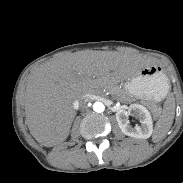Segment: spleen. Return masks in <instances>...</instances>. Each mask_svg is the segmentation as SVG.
I'll use <instances>...</instances> for the list:
<instances>
[{"mask_svg":"<svg viewBox=\"0 0 183 183\" xmlns=\"http://www.w3.org/2000/svg\"><path fill=\"white\" fill-rule=\"evenodd\" d=\"M136 84L137 81L134 82V85ZM167 88L169 91L170 89L169 84L167 85ZM174 115H175V101L173 97L169 96L165 102L163 112L160 115L158 122L156 123L154 134L152 137L153 142H159L167 134V132L170 130L172 126Z\"/></svg>","mask_w":183,"mask_h":183,"instance_id":"spleen-1","label":"spleen"}]
</instances>
